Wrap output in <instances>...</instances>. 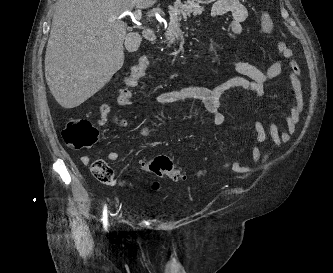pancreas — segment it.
I'll list each match as a JSON object with an SVG mask.
<instances>
[{"label":"pancreas","mask_w":333,"mask_h":273,"mask_svg":"<svg viewBox=\"0 0 333 273\" xmlns=\"http://www.w3.org/2000/svg\"><path fill=\"white\" fill-rule=\"evenodd\" d=\"M204 11V7L200 6L193 1L188 0L185 3L175 4L174 7L170 10V22L168 29L165 33L166 41H168V46L174 44L176 39H178L179 35L182 33L180 30L179 21L181 20L180 15L186 18L191 14L196 16L200 15Z\"/></svg>","instance_id":"1"}]
</instances>
